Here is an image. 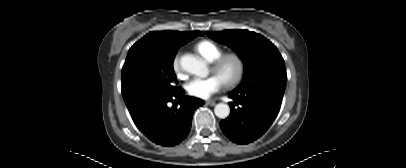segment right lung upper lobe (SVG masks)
<instances>
[{
  "mask_svg": "<svg viewBox=\"0 0 406 168\" xmlns=\"http://www.w3.org/2000/svg\"><path fill=\"white\" fill-rule=\"evenodd\" d=\"M199 35H203V33L200 31H153L145 35L133 46H146L164 53L177 52L180 46Z\"/></svg>",
  "mask_w": 406,
  "mask_h": 168,
  "instance_id": "1",
  "label": "right lung upper lobe"
}]
</instances>
